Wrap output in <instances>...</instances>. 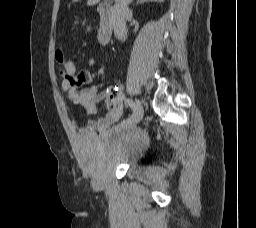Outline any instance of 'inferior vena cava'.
Returning <instances> with one entry per match:
<instances>
[{
  "label": "inferior vena cava",
  "instance_id": "602c4592",
  "mask_svg": "<svg viewBox=\"0 0 256 228\" xmlns=\"http://www.w3.org/2000/svg\"><path fill=\"white\" fill-rule=\"evenodd\" d=\"M132 0H117L112 9V24L115 36L125 40L127 36L125 15L129 11L128 5Z\"/></svg>",
  "mask_w": 256,
  "mask_h": 228
}]
</instances>
